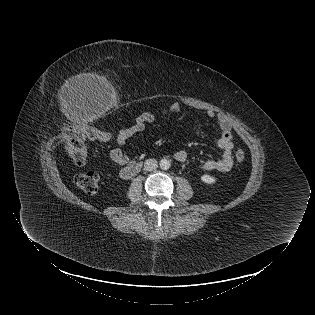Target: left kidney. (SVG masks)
<instances>
[{
  "label": "left kidney",
  "instance_id": "obj_1",
  "mask_svg": "<svg viewBox=\"0 0 315 315\" xmlns=\"http://www.w3.org/2000/svg\"><path fill=\"white\" fill-rule=\"evenodd\" d=\"M201 180L204 182V183H207V184H213L215 183V178L212 177L211 175L209 174H204L201 176Z\"/></svg>",
  "mask_w": 315,
  "mask_h": 315
}]
</instances>
